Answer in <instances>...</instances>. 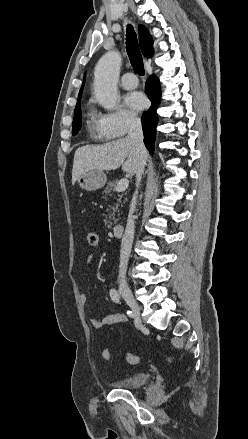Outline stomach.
I'll return each instance as SVG.
<instances>
[{
    "label": "stomach",
    "instance_id": "1",
    "mask_svg": "<svg viewBox=\"0 0 248 439\" xmlns=\"http://www.w3.org/2000/svg\"><path fill=\"white\" fill-rule=\"evenodd\" d=\"M106 181V174L100 170L86 172L78 178L79 186L87 191H95L102 188Z\"/></svg>",
    "mask_w": 248,
    "mask_h": 439
}]
</instances>
